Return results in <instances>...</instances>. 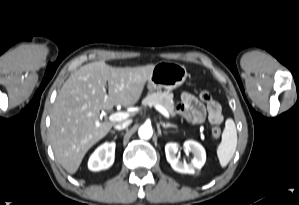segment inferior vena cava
<instances>
[{"instance_id": "inferior-vena-cava-1", "label": "inferior vena cava", "mask_w": 299, "mask_h": 205, "mask_svg": "<svg viewBox=\"0 0 299 205\" xmlns=\"http://www.w3.org/2000/svg\"><path fill=\"white\" fill-rule=\"evenodd\" d=\"M131 124V120H126L122 123H118L114 126V128L116 130H122V129H125L126 127H128L129 125Z\"/></svg>"}]
</instances>
